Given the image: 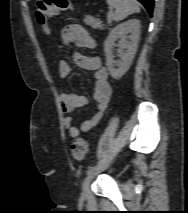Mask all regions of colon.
Wrapping results in <instances>:
<instances>
[{
	"label": "colon",
	"mask_w": 188,
	"mask_h": 213,
	"mask_svg": "<svg viewBox=\"0 0 188 213\" xmlns=\"http://www.w3.org/2000/svg\"><path fill=\"white\" fill-rule=\"evenodd\" d=\"M73 7L71 0H37L35 16L39 25L45 32H48V22L51 17L61 11L69 10ZM88 152V145L84 139H76L71 144V154L73 159L81 161Z\"/></svg>",
	"instance_id": "colon-1"
}]
</instances>
